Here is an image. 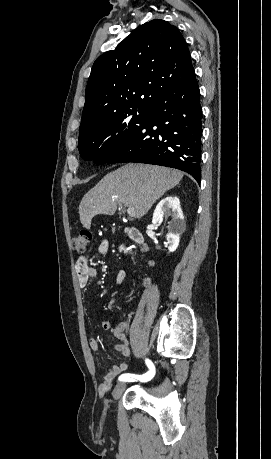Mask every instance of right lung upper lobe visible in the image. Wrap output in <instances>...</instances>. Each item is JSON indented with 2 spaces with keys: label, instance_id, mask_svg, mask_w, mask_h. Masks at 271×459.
Wrapping results in <instances>:
<instances>
[{
  "label": "right lung upper lobe",
  "instance_id": "right-lung-upper-lobe-1",
  "mask_svg": "<svg viewBox=\"0 0 271 459\" xmlns=\"http://www.w3.org/2000/svg\"><path fill=\"white\" fill-rule=\"evenodd\" d=\"M195 75L185 39L177 27L155 19L125 38L92 67L81 123L148 105Z\"/></svg>",
  "mask_w": 271,
  "mask_h": 459
}]
</instances>
